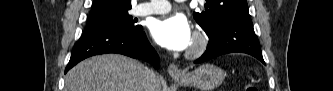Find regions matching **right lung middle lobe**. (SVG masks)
Returning <instances> with one entry per match:
<instances>
[{
  "label": "right lung middle lobe",
  "mask_w": 333,
  "mask_h": 91,
  "mask_svg": "<svg viewBox=\"0 0 333 91\" xmlns=\"http://www.w3.org/2000/svg\"><path fill=\"white\" fill-rule=\"evenodd\" d=\"M136 22L137 20L132 19V16H130L128 11H126L116 15L89 19L86 27L121 28L132 31L143 30V27L141 25H137Z\"/></svg>",
  "instance_id": "obj_1"
}]
</instances>
